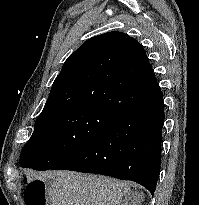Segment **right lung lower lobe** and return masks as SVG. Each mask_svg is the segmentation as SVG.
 Segmentation results:
<instances>
[{
	"instance_id": "1",
	"label": "right lung lower lobe",
	"mask_w": 199,
	"mask_h": 205,
	"mask_svg": "<svg viewBox=\"0 0 199 205\" xmlns=\"http://www.w3.org/2000/svg\"><path fill=\"white\" fill-rule=\"evenodd\" d=\"M143 100L93 142L69 155L51 170H73L131 180L152 196L161 164L164 124L163 94L157 80L129 84Z\"/></svg>"
}]
</instances>
